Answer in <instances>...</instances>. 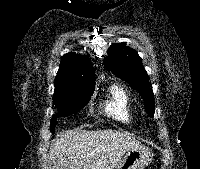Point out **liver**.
<instances>
[{"instance_id": "6515ba94", "label": "liver", "mask_w": 200, "mask_h": 169, "mask_svg": "<svg viewBox=\"0 0 200 169\" xmlns=\"http://www.w3.org/2000/svg\"><path fill=\"white\" fill-rule=\"evenodd\" d=\"M139 146L119 131H71L51 145L47 169H114L128 150Z\"/></svg>"}]
</instances>
